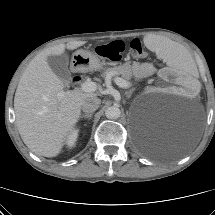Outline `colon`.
<instances>
[{
  "label": "colon",
  "mask_w": 215,
  "mask_h": 215,
  "mask_svg": "<svg viewBox=\"0 0 215 215\" xmlns=\"http://www.w3.org/2000/svg\"><path fill=\"white\" fill-rule=\"evenodd\" d=\"M130 48L136 56L142 57L145 55V50L139 39H133L130 42ZM125 44L123 41L117 40L96 47V53L111 61H118L121 58Z\"/></svg>",
  "instance_id": "colon-1"
}]
</instances>
